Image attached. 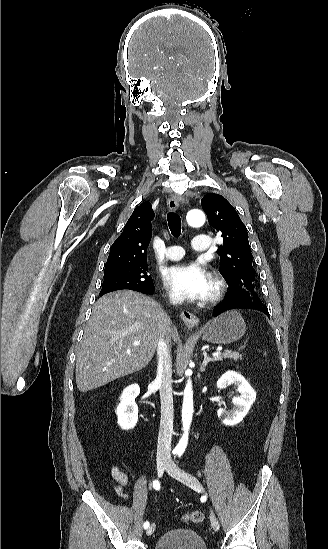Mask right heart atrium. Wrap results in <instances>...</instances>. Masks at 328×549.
Here are the masks:
<instances>
[{
    "mask_svg": "<svg viewBox=\"0 0 328 549\" xmlns=\"http://www.w3.org/2000/svg\"><path fill=\"white\" fill-rule=\"evenodd\" d=\"M168 298H169V300H170L171 302H173V303L176 302L175 299H174L171 295H168Z\"/></svg>",
    "mask_w": 328,
    "mask_h": 549,
    "instance_id": "right-heart-atrium-1",
    "label": "right heart atrium"
}]
</instances>
